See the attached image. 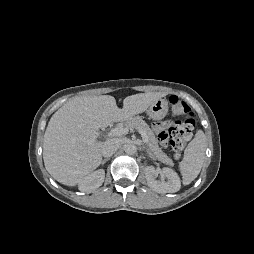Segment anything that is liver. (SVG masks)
Masks as SVG:
<instances>
[{
	"label": "liver",
	"instance_id": "1",
	"mask_svg": "<svg viewBox=\"0 0 254 254\" xmlns=\"http://www.w3.org/2000/svg\"><path fill=\"white\" fill-rule=\"evenodd\" d=\"M166 94L139 93L126 97L123 108L110 95L76 97L51 117L44 134L46 170L58 182L75 186L95 170L102 160L103 143L96 141L99 129L143 113Z\"/></svg>",
	"mask_w": 254,
	"mask_h": 254
}]
</instances>
